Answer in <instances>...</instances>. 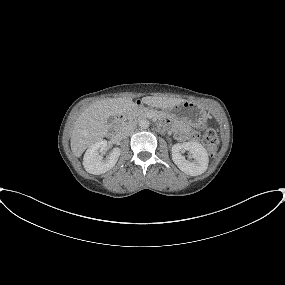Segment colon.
Instances as JSON below:
<instances>
[{
	"label": "colon",
	"instance_id": "obj_1",
	"mask_svg": "<svg viewBox=\"0 0 285 285\" xmlns=\"http://www.w3.org/2000/svg\"><path fill=\"white\" fill-rule=\"evenodd\" d=\"M202 140L206 145L209 153L213 154L218 145V135L216 130L213 128L206 129L203 133Z\"/></svg>",
	"mask_w": 285,
	"mask_h": 285
}]
</instances>
